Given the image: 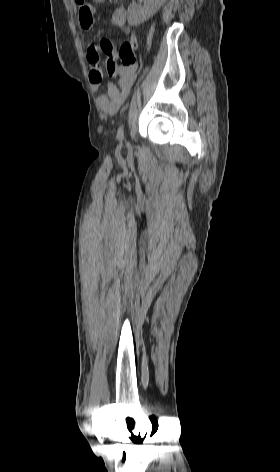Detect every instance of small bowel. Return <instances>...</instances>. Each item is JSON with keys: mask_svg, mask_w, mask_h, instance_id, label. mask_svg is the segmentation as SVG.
I'll return each instance as SVG.
<instances>
[{"mask_svg": "<svg viewBox=\"0 0 280 472\" xmlns=\"http://www.w3.org/2000/svg\"><path fill=\"white\" fill-rule=\"evenodd\" d=\"M96 3H102L104 0H93ZM78 7L79 22L83 29L89 30L94 23V6L87 0H75ZM112 22L119 27L124 33L130 34L128 40L136 47L137 38L131 32L130 26L127 24V11L124 8H117L112 14ZM100 55H104L107 61L116 62L118 52L116 46L109 39H102L99 44H92L87 50V60L89 62L88 75L92 85V89L97 91L100 88L103 79V68L101 66ZM137 65H117V82L108 83L107 94L97 97V103L100 108L109 115L115 114L127 99L134 79L136 77Z\"/></svg>", "mask_w": 280, "mask_h": 472, "instance_id": "obj_1", "label": "small bowel"}]
</instances>
